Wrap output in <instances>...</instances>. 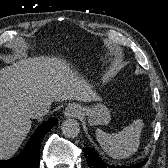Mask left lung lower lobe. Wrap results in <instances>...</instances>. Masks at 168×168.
I'll use <instances>...</instances> for the list:
<instances>
[{"mask_svg":"<svg viewBox=\"0 0 168 168\" xmlns=\"http://www.w3.org/2000/svg\"><path fill=\"white\" fill-rule=\"evenodd\" d=\"M84 151V155L86 157V161L89 168H141L147 161L145 160L143 162L136 163L131 166H114L102 160L93 148L87 147Z\"/></svg>","mask_w":168,"mask_h":168,"instance_id":"0a47b994","label":"left lung lower lobe"}]
</instances>
